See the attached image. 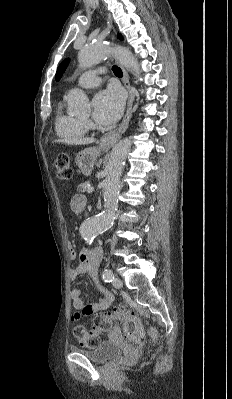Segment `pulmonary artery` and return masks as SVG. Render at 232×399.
<instances>
[{"instance_id": "1", "label": "pulmonary artery", "mask_w": 232, "mask_h": 399, "mask_svg": "<svg viewBox=\"0 0 232 399\" xmlns=\"http://www.w3.org/2000/svg\"><path fill=\"white\" fill-rule=\"evenodd\" d=\"M100 71L96 69H92L89 71L88 69H84L82 73L79 74V77H76V84H81L87 88V90H98L99 85L103 84V77H100ZM104 74H107V71H104Z\"/></svg>"}]
</instances>
